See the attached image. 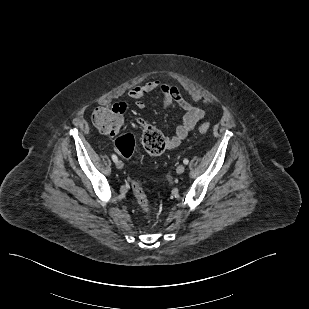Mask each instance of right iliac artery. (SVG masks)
<instances>
[{
    "label": "right iliac artery",
    "instance_id": "82829eb1",
    "mask_svg": "<svg viewBox=\"0 0 309 309\" xmlns=\"http://www.w3.org/2000/svg\"><path fill=\"white\" fill-rule=\"evenodd\" d=\"M112 160L114 161V162H117L118 161V158H117V156L115 155V154H112Z\"/></svg>",
    "mask_w": 309,
    "mask_h": 309
}]
</instances>
